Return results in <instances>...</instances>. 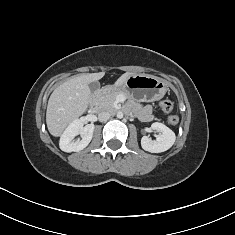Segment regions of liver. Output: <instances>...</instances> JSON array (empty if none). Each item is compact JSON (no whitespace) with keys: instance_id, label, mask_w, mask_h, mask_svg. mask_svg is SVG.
<instances>
[{"instance_id":"6515ba94","label":"liver","mask_w":235,"mask_h":235,"mask_svg":"<svg viewBox=\"0 0 235 235\" xmlns=\"http://www.w3.org/2000/svg\"><path fill=\"white\" fill-rule=\"evenodd\" d=\"M104 75L105 72L73 76L52 92L46 111V124L51 135L61 136L71 122L85 113L91 96L89 83L100 80ZM131 75L136 74L124 73L114 86H122Z\"/></svg>"}]
</instances>
